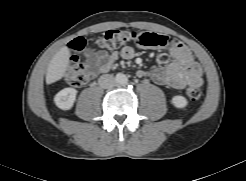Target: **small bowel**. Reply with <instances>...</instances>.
I'll use <instances>...</instances> for the list:
<instances>
[{"instance_id":"small-bowel-1","label":"small bowel","mask_w":246,"mask_h":181,"mask_svg":"<svg viewBox=\"0 0 246 181\" xmlns=\"http://www.w3.org/2000/svg\"><path fill=\"white\" fill-rule=\"evenodd\" d=\"M171 62L162 68L139 70L137 75L141 78L148 77L156 84L174 89H183L188 84L202 85V68L195 61L188 47L175 40L169 47ZM84 54L89 63L100 73L110 70L119 57L132 59L135 51L131 46H125L120 52L108 53L104 50L85 49Z\"/></svg>"}]
</instances>
